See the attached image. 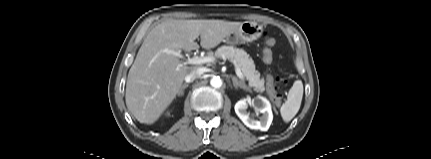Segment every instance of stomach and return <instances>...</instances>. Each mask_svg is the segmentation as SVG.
Returning <instances> with one entry per match:
<instances>
[{
	"mask_svg": "<svg viewBox=\"0 0 431 159\" xmlns=\"http://www.w3.org/2000/svg\"><path fill=\"white\" fill-rule=\"evenodd\" d=\"M263 32V26L255 21H245L232 31L225 39L231 45L243 44L258 39Z\"/></svg>",
	"mask_w": 431,
	"mask_h": 159,
	"instance_id": "0dacf381",
	"label": "stomach"
}]
</instances>
